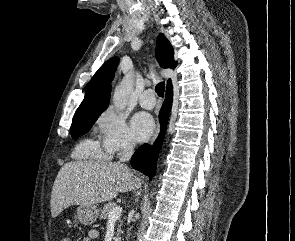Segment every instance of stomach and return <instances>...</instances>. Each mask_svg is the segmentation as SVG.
<instances>
[{
    "label": "stomach",
    "instance_id": "stomach-1",
    "mask_svg": "<svg viewBox=\"0 0 295 241\" xmlns=\"http://www.w3.org/2000/svg\"><path fill=\"white\" fill-rule=\"evenodd\" d=\"M99 208L97 205H80L74 214V223L91 225L93 224L99 216Z\"/></svg>",
    "mask_w": 295,
    "mask_h": 241
}]
</instances>
